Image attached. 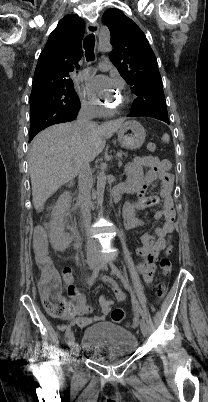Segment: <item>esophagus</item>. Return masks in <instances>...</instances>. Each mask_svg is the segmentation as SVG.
<instances>
[{"mask_svg":"<svg viewBox=\"0 0 208 402\" xmlns=\"http://www.w3.org/2000/svg\"><path fill=\"white\" fill-rule=\"evenodd\" d=\"M87 32L89 34L97 35L99 32V25L98 23H88L87 25Z\"/></svg>","mask_w":208,"mask_h":402,"instance_id":"obj_1","label":"esophagus"}]
</instances>
